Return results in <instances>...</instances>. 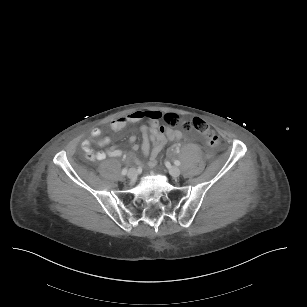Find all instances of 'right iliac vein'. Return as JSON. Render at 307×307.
Here are the masks:
<instances>
[{"label":"right iliac vein","mask_w":307,"mask_h":307,"mask_svg":"<svg viewBox=\"0 0 307 307\" xmlns=\"http://www.w3.org/2000/svg\"><path fill=\"white\" fill-rule=\"evenodd\" d=\"M137 175H138V173H137V170L135 168H130L128 170L127 176H128L129 179L135 180L137 178Z\"/></svg>","instance_id":"1"}]
</instances>
